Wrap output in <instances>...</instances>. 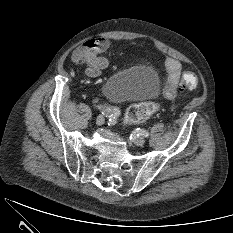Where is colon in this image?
Wrapping results in <instances>:
<instances>
[{
	"instance_id": "colon-1",
	"label": "colon",
	"mask_w": 233,
	"mask_h": 233,
	"mask_svg": "<svg viewBox=\"0 0 233 233\" xmlns=\"http://www.w3.org/2000/svg\"><path fill=\"white\" fill-rule=\"evenodd\" d=\"M87 55L94 57L97 54L96 46L90 44L87 46ZM180 86L185 90H195L198 86L196 75L190 71H185L181 77ZM159 109V105L155 102H142L130 106L126 113V120L129 123H140L147 120Z\"/></svg>"
}]
</instances>
